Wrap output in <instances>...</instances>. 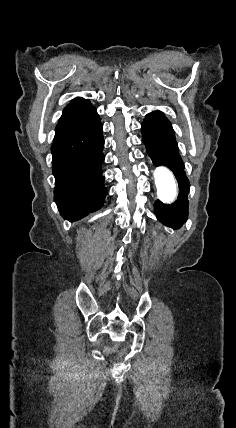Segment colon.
<instances>
[{"label":"colon","mask_w":236,"mask_h":428,"mask_svg":"<svg viewBox=\"0 0 236 428\" xmlns=\"http://www.w3.org/2000/svg\"><path fill=\"white\" fill-rule=\"evenodd\" d=\"M127 352H128V349H127V348H124V349L121 351V353L119 354V358H124V357L126 356Z\"/></svg>","instance_id":"1"}]
</instances>
